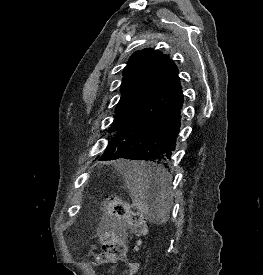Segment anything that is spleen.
Instances as JSON below:
<instances>
[{
  "label": "spleen",
  "instance_id": "spleen-1",
  "mask_svg": "<svg viewBox=\"0 0 263 275\" xmlns=\"http://www.w3.org/2000/svg\"><path fill=\"white\" fill-rule=\"evenodd\" d=\"M118 170L131 192L133 205L147 216L150 222L165 224L168 221L171 202L170 174L160 166L139 161H121ZM153 188H156V192L149 201L148 197Z\"/></svg>",
  "mask_w": 263,
  "mask_h": 275
}]
</instances>
